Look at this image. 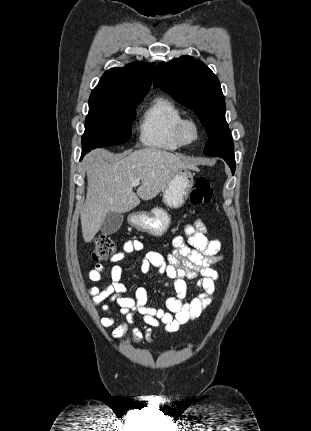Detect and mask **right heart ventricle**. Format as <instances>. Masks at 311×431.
Here are the masks:
<instances>
[{
	"mask_svg": "<svg viewBox=\"0 0 311 431\" xmlns=\"http://www.w3.org/2000/svg\"><path fill=\"white\" fill-rule=\"evenodd\" d=\"M186 116L171 98L162 96L152 101L141 113L138 124L140 143L155 150L174 152L184 145L177 136V126Z\"/></svg>",
	"mask_w": 311,
	"mask_h": 431,
	"instance_id": "right-heart-ventricle-1",
	"label": "right heart ventricle"
}]
</instances>
